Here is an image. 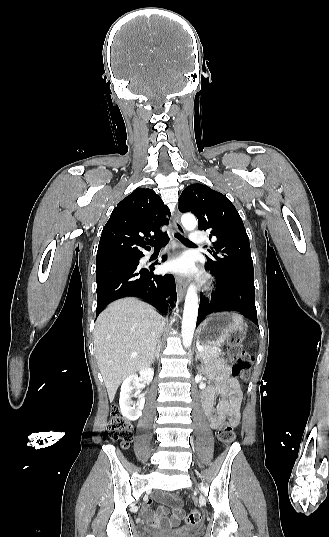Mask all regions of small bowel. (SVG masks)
<instances>
[{
    "mask_svg": "<svg viewBox=\"0 0 329 537\" xmlns=\"http://www.w3.org/2000/svg\"><path fill=\"white\" fill-rule=\"evenodd\" d=\"M230 367L223 361H218L210 370V378L215 382L202 393L203 409L208 417L211 428L218 429L227 420L237 422L240 416L242 398L239 381L230 376ZM218 394L220 400L214 406V397ZM156 499L169 506H160L154 512L151 510L153 499L145 502L144 519L153 527L164 530L177 527L184 514L180 504L170 494H162Z\"/></svg>",
    "mask_w": 329,
    "mask_h": 537,
    "instance_id": "obj_1",
    "label": "small bowel"
}]
</instances>
